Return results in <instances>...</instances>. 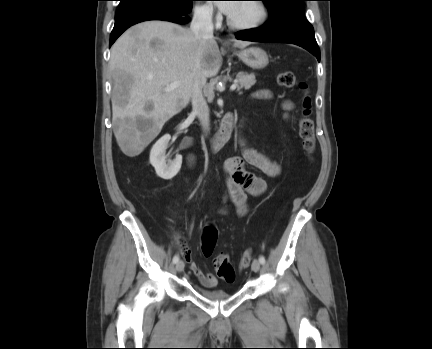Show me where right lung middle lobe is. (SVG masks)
Instances as JSON below:
<instances>
[{
	"mask_svg": "<svg viewBox=\"0 0 432 349\" xmlns=\"http://www.w3.org/2000/svg\"><path fill=\"white\" fill-rule=\"evenodd\" d=\"M119 9L142 2H156L169 5L173 8L184 9L191 6L193 0H119Z\"/></svg>",
	"mask_w": 432,
	"mask_h": 349,
	"instance_id": "1",
	"label": "right lung middle lobe"
}]
</instances>
